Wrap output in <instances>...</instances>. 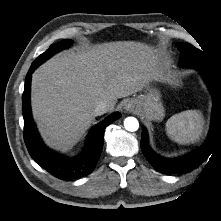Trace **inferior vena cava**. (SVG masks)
<instances>
[{
  "label": "inferior vena cava",
  "mask_w": 221,
  "mask_h": 221,
  "mask_svg": "<svg viewBox=\"0 0 221 221\" xmlns=\"http://www.w3.org/2000/svg\"><path fill=\"white\" fill-rule=\"evenodd\" d=\"M109 111V104L106 102H100L94 109L95 116H101Z\"/></svg>",
  "instance_id": "obj_1"
}]
</instances>
